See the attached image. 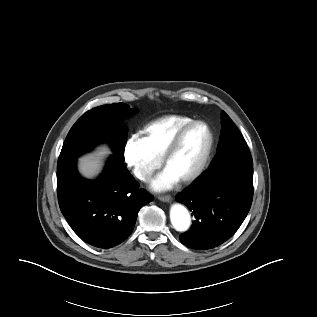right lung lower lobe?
I'll use <instances>...</instances> for the list:
<instances>
[{"mask_svg": "<svg viewBox=\"0 0 317 317\" xmlns=\"http://www.w3.org/2000/svg\"><path fill=\"white\" fill-rule=\"evenodd\" d=\"M57 194L62 214L75 233L96 248L122 243L132 232L142 206L153 201L112 155L96 180L83 179L76 161L57 171Z\"/></svg>", "mask_w": 317, "mask_h": 317, "instance_id": "obj_1", "label": "right lung lower lobe"}]
</instances>
